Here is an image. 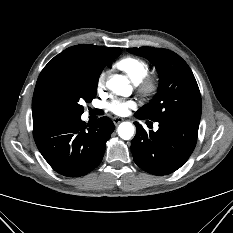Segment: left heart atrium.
<instances>
[{
    "label": "left heart atrium",
    "mask_w": 233,
    "mask_h": 233,
    "mask_svg": "<svg viewBox=\"0 0 233 233\" xmlns=\"http://www.w3.org/2000/svg\"><path fill=\"white\" fill-rule=\"evenodd\" d=\"M136 107V103L132 100L112 99L106 104V108L111 113L124 116L127 115L129 110Z\"/></svg>",
    "instance_id": "obj_1"
}]
</instances>
